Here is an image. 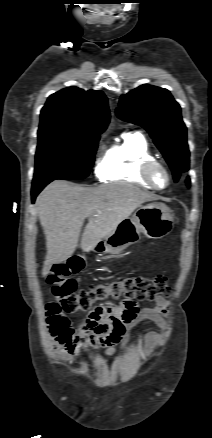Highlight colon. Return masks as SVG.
I'll return each instance as SVG.
<instances>
[{
    "label": "colon",
    "mask_w": 212,
    "mask_h": 438,
    "mask_svg": "<svg viewBox=\"0 0 212 438\" xmlns=\"http://www.w3.org/2000/svg\"><path fill=\"white\" fill-rule=\"evenodd\" d=\"M84 267V259L75 255L53 266L48 283L52 286L57 300L47 305V323L56 335H63L69 330L68 313L87 311L95 303H106L109 299L124 297L127 300H155L167 297L171 288L166 277L154 278L122 277L109 283L95 284L87 289L78 290L72 278Z\"/></svg>",
    "instance_id": "1"
}]
</instances>
